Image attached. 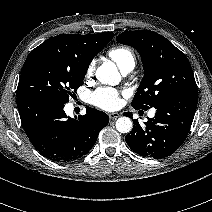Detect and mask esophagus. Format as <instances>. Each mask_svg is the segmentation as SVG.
<instances>
[{
  "instance_id": "obj_1",
  "label": "esophagus",
  "mask_w": 212,
  "mask_h": 212,
  "mask_svg": "<svg viewBox=\"0 0 212 212\" xmlns=\"http://www.w3.org/2000/svg\"><path fill=\"white\" fill-rule=\"evenodd\" d=\"M120 115L118 113H110L109 118L111 120H116Z\"/></svg>"
}]
</instances>
